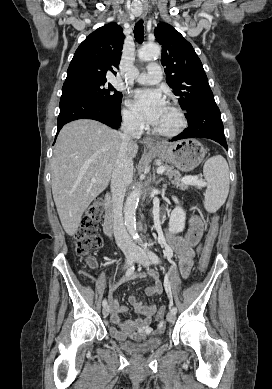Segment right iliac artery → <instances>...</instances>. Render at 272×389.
I'll return each instance as SVG.
<instances>
[{"label": "right iliac artery", "mask_w": 272, "mask_h": 389, "mask_svg": "<svg viewBox=\"0 0 272 389\" xmlns=\"http://www.w3.org/2000/svg\"><path fill=\"white\" fill-rule=\"evenodd\" d=\"M134 270H135V266L132 265V266L126 271V274L124 275V277L122 278V280H123V281H127V280L131 279V276L133 275ZM102 305H103V306H106V305H107V300H106V299L103 300Z\"/></svg>", "instance_id": "82829eb1"}]
</instances>
